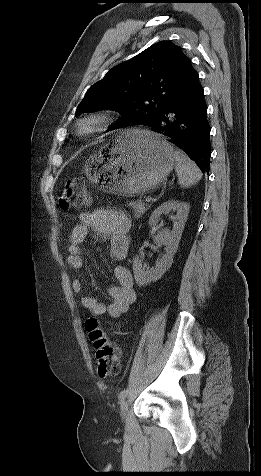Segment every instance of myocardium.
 Here are the masks:
<instances>
[{
  "label": "myocardium",
  "instance_id": "f54148a6",
  "mask_svg": "<svg viewBox=\"0 0 261 476\" xmlns=\"http://www.w3.org/2000/svg\"><path fill=\"white\" fill-rule=\"evenodd\" d=\"M111 122L112 117L108 113H92L79 119L75 130L78 136L87 137L106 128Z\"/></svg>",
  "mask_w": 261,
  "mask_h": 476
}]
</instances>
